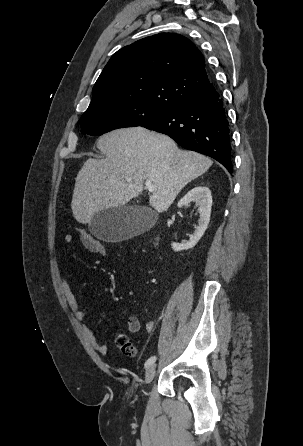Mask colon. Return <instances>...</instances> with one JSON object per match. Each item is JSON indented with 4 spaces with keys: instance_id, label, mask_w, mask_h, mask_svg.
Masks as SVG:
<instances>
[{
    "instance_id": "1",
    "label": "colon",
    "mask_w": 303,
    "mask_h": 446,
    "mask_svg": "<svg viewBox=\"0 0 303 446\" xmlns=\"http://www.w3.org/2000/svg\"><path fill=\"white\" fill-rule=\"evenodd\" d=\"M77 233L88 234L83 228H77ZM95 251L97 255L107 256L108 250L106 246L99 240L96 239ZM115 344L122 354L128 357H133L136 355L135 345L128 339L125 334L119 333L115 338Z\"/></svg>"
}]
</instances>
